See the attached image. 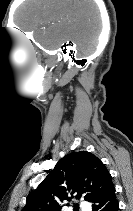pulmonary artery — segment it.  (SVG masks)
<instances>
[{
	"instance_id": "1",
	"label": "pulmonary artery",
	"mask_w": 133,
	"mask_h": 211,
	"mask_svg": "<svg viewBox=\"0 0 133 211\" xmlns=\"http://www.w3.org/2000/svg\"><path fill=\"white\" fill-rule=\"evenodd\" d=\"M80 207H81L82 211H90V206L87 202L82 201L80 203Z\"/></svg>"
}]
</instances>
